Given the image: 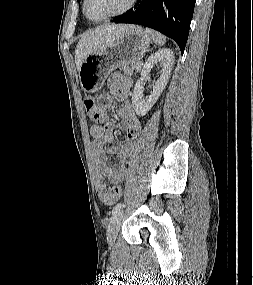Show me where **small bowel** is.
I'll return each instance as SVG.
<instances>
[{
    "label": "small bowel",
    "instance_id": "obj_1",
    "mask_svg": "<svg viewBox=\"0 0 253 285\" xmlns=\"http://www.w3.org/2000/svg\"><path fill=\"white\" fill-rule=\"evenodd\" d=\"M131 79L113 74L108 80L109 92L99 96L94 111L89 117L94 120L90 127V134L94 138L93 147L96 157V192L98 198L105 205L111 206L122 196L115 192V187L125 180L128 170V160L137 151L136 139L141 134V123L129 101L131 95ZM113 95L121 99L117 109L119 124L108 120V110L113 103ZM118 127L126 133L128 141L124 144H115L113 132ZM117 157L115 163L109 161V156ZM107 178L113 187H108L104 178Z\"/></svg>",
    "mask_w": 253,
    "mask_h": 285
}]
</instances>
